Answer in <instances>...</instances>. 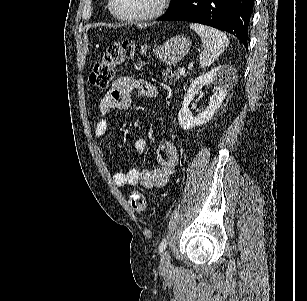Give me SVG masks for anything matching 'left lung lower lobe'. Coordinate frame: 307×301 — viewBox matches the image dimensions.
Returning a JSON list of instances; mask_svg holds the SVG:
<instances>
[{
	"label": "left lung lower lobe",
	"mask_w": 307,
	"mask_h": 301,
	"mask_svg": "<svg viewBox=\"0 0 307 301\" xmlns=\"http://www.w3.org/2000/svg\"><path fill=\"white\" fill-rule=\"evenodd\" d=\"M254 0H181L160 21H191L227 31L247 47Z\"/></svg>",
	"instance_id": "left-lung-lower-lobe-1"
}]
</instances>
